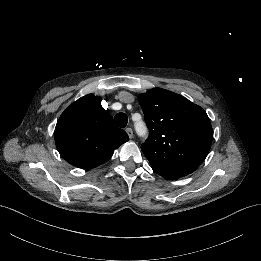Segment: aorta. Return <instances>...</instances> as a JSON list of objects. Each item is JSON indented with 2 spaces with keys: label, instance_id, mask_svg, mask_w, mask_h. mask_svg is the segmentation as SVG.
<instances>
[{
  "label": "aorta",
  "instance_id": "aorta-1",
  "mask_svg": "<svg viewBox=\"0 0 261 261\" xmlns=\"http://www.w3.org/2000/svg\"><path fill=\"white\" fill-rule=\"evenodd\" d=\"M140 116V119H134L132 121L133 128L135 130L136 136L141 139H145L148 136L149 128L145 121L142 119L140 113H136Z\"/></svg>",
  "mask_w": 261,
  "mask_h": 261
}]
</instances>
